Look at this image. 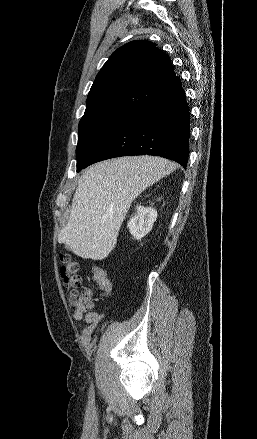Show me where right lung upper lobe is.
<instances>
[{
    "mask_svg": "<svg viewBox=\"0 0 257 439\" xmlns=\"http://www.w3.org/2000/svg\"><path fill=\"white\" fill-rule=\"evenodd\" d=\"M181 84L170 58L156 44L135 40L118 48L97 74L84 116H131Z\"/></svg>",
    "mask_w": 257,
    "mask_h": 439,
    "instance_id": "cb5924a9",
    "label": "right lung upper lobe"
}]
</instances>
